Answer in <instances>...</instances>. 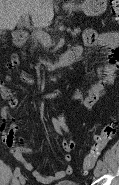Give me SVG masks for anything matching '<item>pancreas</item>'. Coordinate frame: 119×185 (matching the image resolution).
<instances>
[{
    "mask_svg": "<svg viewBox=\"0 0 119 185\" xmlns=\"http://www.w3.org/2000/svg\"><path fill=\"white\" fill-rule=\"evenodd\" d=\"M79 32H80V29L77 28V29L74 30L73 35H76V34H78ZM31 38H32V40H33V42H34V47H38V45H39L40 43H42L41 40L37 37V35H36L35 33H33V34L31 35Z\"/></svg>",
    "mask_w": 119,
    "mask_h": 185,
    "instance_id": "1",
    "label": "pancreas"
}]
</instances>
